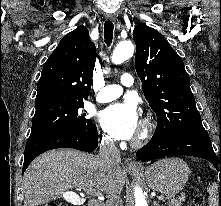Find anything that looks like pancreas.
Returning a JSON list of instances; mask_svg holds the SVG:
<instances>
[{"label": "pancreas", "instance_id": "1", "mask_svg": "<svg viewBox=\"0 0 221 206\" xmlns=\"http://www.w3.org/2000/svg\"><path fill=\"white\" fill-rule=\"evenodd\" d=\"M166 200H167L166 204L168 206H181L182 202L185 201V195H181L178 198H175L172 195L171 196H167Z\"/></svg>", "mask_w": 221, "mask_h": 206}]
</instances>
